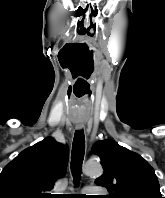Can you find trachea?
Segmentation results:
<instances>
[{"label": "trachea", "mask_w": 165, "mask_h": 198, "mask_svg": "<svg viewBox=\"0 0 165 198\" xmlns=\"http://www.w3.org/2000/svg\"><path fill=\"white\" fill-rule=\"evenodd\" d=\"M85 153V136L83 130L76 131L74 134L71 152V172L74 182H79L82 170V163Z\"/></svg>", "instance_id": "1"}]
</instances>
